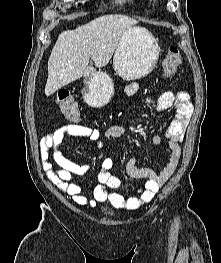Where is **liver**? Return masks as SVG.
<instances>
[{"label":"liver","instance_id":"obj_1","mask_svg":"<svg viewBox=\"0 0 221 263\" xmlns=\"http://www.w3.org/2000/svg\"><path fill=\"white\" fill-rule=\"evenodd\" d=\"M137 20L125 15H103L75 30L59 34L48 60L45 95L49 96L65 85L106 66L126 31Z\"/></svg>","mask_w":221,"mask_h":263}]
</instances>
